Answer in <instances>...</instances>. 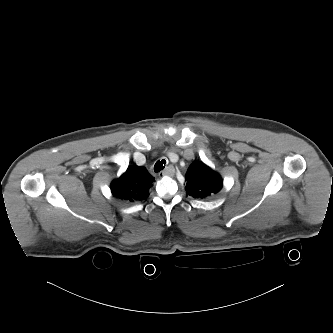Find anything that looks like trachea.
I'll return each mask as SVG.
<instances>
[{
	"label": "trachea",
	"mask_w": 333,
	"mask_h": 333,
	"mask_svg": "<svg viewBox=\"0 0 333 333\" xmlns=\"http://www.w3.org/2000/svg\"><path fill=\"white\" fill-rule=\"evenodd\" d=\"M166 164V160L165 159H162L161 161L158 160L155 165H154V171L157 173V172H160L161 170L164 169V165Z\"/></svg>",
	"instance_id": "1"
}]
</instances>
